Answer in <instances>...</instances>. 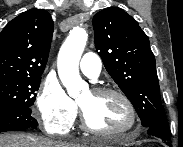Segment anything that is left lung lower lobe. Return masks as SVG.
I'll list each match as a JSON object with an SVG mask.
<instances>
[{
	"instance_id": "left-lung-lower-lobe-1",
	"label": "left lung lower lobe",
	"mask_w": 183,
	"mask_h": 147,
	"mask_svg": "<svg viewBox=\"0 0 183 147\" xmlns=\"http://www.w3.org/2000/svg\"><path fill=\"white\" fill-rule=\"evenodd\" d=\"M146 130L148 134L160 137L164 141L170 139V130L162 128H146Z\"/></svg>"
}]
</instances>
